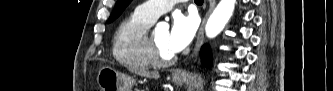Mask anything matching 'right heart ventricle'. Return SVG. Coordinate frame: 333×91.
I'll return each mask as SVG.
<instances>
[{"label": "right heart ventricle", "instance_id": "1", "mask_svg": "<svg viewBox=\"0 0 333 91\" xmlns=\"http://www.w3.org/2000/svg\"><path fill=\"white\" fill-rule=\"evenodd\" d=\"M153 22L135 10L119 23L113 37L112 52L121 66L133 71L153 66L145 43L146 31Z\"/></svg>", "mask_w": 333, "mask_h": 91}]
</instances>
